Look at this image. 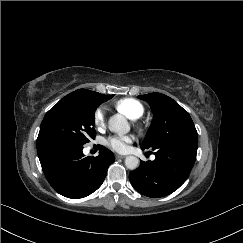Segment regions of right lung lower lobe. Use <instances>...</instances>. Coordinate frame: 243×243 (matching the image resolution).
Instances as JSON below:
<instances>
[{
  "mask_svg": "<svg viewBox=\"0 0 243 243\" xmlns=\"http://www.w3.org/2000/svg\"><path fill=\"white\" fill-rule=\"evenodd\" d=\"M99 146L97 157H85L83 146L49 144L37 148L38 157L49 184L68 198H83L103 183L108 167L114 162L113 153Z\"/></svg>",
  "mask_w": 243,
  "mask_h": 243,
  "instance_id": "1",
  "label": "right lung lower lobe"
}]
</instances>
